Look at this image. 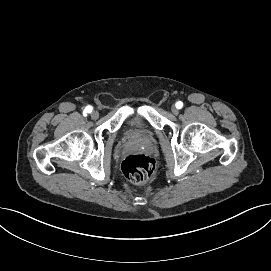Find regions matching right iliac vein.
I'll return each instance as SVG.
<instances>
[{
    "mask_svg": "<svg viewBox=\"0 0 271 271\" xmlns=\"http://www.w3.org/2000/svg\"><path fill=\"white\" fill-rule=\"evenodd\" d=\"M98 117H99L98 111L93 110V111L91 112V118H92V119H97Z\"/></svg>",
    "mask_w": 271,
    "mask_h": 271,
    "instance_id": "63e3f726",
    "label": "right iliac vein"
}]
</instances>
